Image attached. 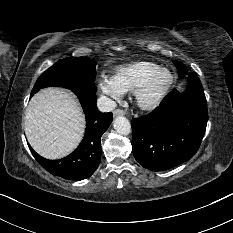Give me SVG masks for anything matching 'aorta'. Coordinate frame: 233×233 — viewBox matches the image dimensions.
<instances>
[{"mask_svg":"<svg viewBox=\"0 0 233 233\" xmlns=\"http://www.w3.org/2000/svg\"><path fill=\"white\" fill-rule=\"evenodd\" d=\"M114 129L121 135H127L131 132V124L124 116H118L114 120Z\"/></svg>","mask_w":233,"mask_h":233,"instance_id":"obj_1","label":"aorta"}]
</instances>
